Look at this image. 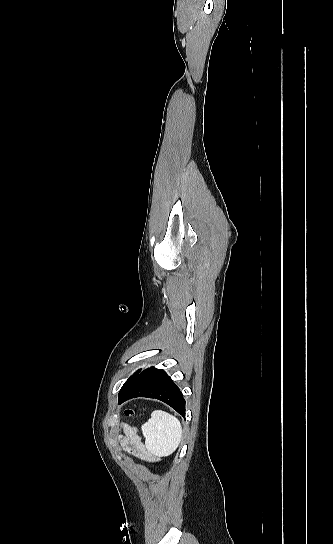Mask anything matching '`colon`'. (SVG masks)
I'll return each mask as SVG.
<instances>
[{
  "label": "colon",
  "mask_w": 333,
  "mask_h": 544,
  "mask_svg": "<svg viewBox=\"0 0 333 544\" xmlns=\"http://www.w3.org/2000/svg\"><path fill=\"white\" fill-rule=\"evenodd\" d=\"M125 413H126V415H131L133 412H132V410L128 409V410H126Z\"/></svg>",
  "instance_id": "obj_1"
}]
</instances>
